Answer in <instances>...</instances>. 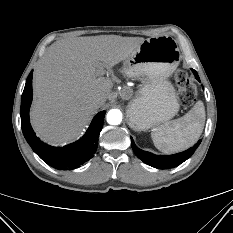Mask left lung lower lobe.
Instances as JSON below:
<instances>
[{"mask_svg":"<svg viewBox=\"0 0 233 233\" xmlns=\"http://www.w3.org/2000/svg\"><path fill=\"white\" fill-rule=\"evenodd\" d=\"M192 72L194 73L197 80L200 81L199 76L197 72L192 69ZM201 140H199L193 147L189 148L188 150L177 153L170 156H158L154 155L150 152L140 150L138 147H136L133 139L131 138V144L134 153L146 164L155 167L157 169H168L177 167L184 161H186L188 158L192 156V154L195 152L197 147L199 146Z\"/></svg>","mask_w":233,"mask_h":233,"instance_id":"1","label":"left lung lower lobe"}]
</instances>
